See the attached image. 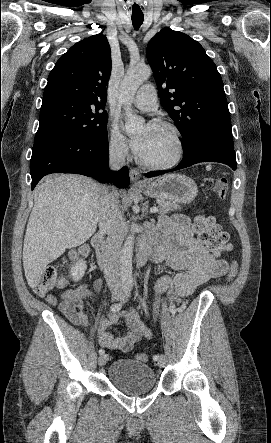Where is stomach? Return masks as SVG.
I'll list each match as a JSON object with an SVG mask.
<instances>
[{"label":"stomach","instance_id":"1","mask_svg":"<svg viewBox=\"0 0 271 443\" xmlns=\"http://www.w3.org/2000/svg\"><path fill=\"white\" fill-rule=\"evenodd\" d=\"M143 184L146 186L145 196L170 200V202H177V204H191L198 194L195 182L187 176H181V174H168V176H162L154 182H143Z\"/></svg>","mask_w":271,"mask_h":443}]
</instances>
